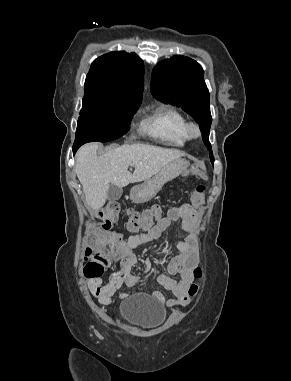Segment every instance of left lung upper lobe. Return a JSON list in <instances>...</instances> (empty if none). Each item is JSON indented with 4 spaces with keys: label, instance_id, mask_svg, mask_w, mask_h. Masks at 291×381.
<instances>
[{
    "label": "left lung upper lobe",
    "instance_id": "left-lung-upper-lobe-1",
    "mask_svg": "<svg viewBox=\"0 0 291 381\" xmlns=\"http://www.w3.org/2000/svg\"><path fill=\"white\" fill-rule=\"evenodd\" d=\"M151 92L156 98L182 107L199 124L202 138L214 157L208 140L212 117L209 91L200 64L186 56H174L162 61L153 72Z\"/></svg>",
    "mask_w": 291,
    "mask_h": 381
}]
</instances>
